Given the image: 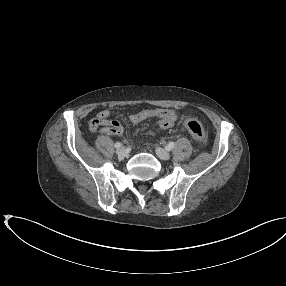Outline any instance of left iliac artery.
I'll return each instance as SVG.
<instances>
[{"label": "left iliac artery", "instance_id": "left-iliac-artery-1", "mask_svg": "<svg viewBox=\"0 0 286 286\" xmlns=\"http://www.w3.org/2000/svg\"><path fill=\"white\" fill-rule=\"evenodd\" d=\"M174 147H175V143H174V142H170V143L167 145V149H168V150H172Z\"/></svg>", "mask_w": 286, "mask_h": 286}]
</instances>
